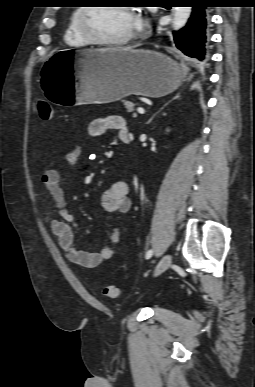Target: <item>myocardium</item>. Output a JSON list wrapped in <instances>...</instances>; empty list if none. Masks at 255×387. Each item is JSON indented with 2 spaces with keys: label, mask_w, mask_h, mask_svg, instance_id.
Wrapping results in <instances>:
<instances>
[{
  "label": "myocardium",
  "mask_w": 255,
  "mask_h": 387,
  "mask_svg": "<svg viewBox=\"0 0 255 387\" xmlns=\"http://www.w3.org/2000/svg\"><path fill=\"white\" fill-rule=\"evenodd\" d=\"M117 7H120L126 10L128 13L134 16V12L130 7L128 6H117ZM96 8L97 7L95 6H84L83 8L80 9V12L77 18V25L80 33L90 44L116 47V46L126 45L134 39L135 37L134 32L130 33L124 38L116 39V40L103 39L95 35V33L92 31L90 27L88 17L91 14V12Z\"/></svg>",
  "instance_id": "f54148a6"
}]
</instances>
